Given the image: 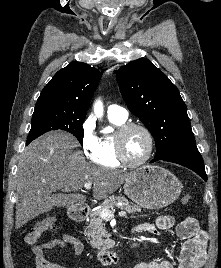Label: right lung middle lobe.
Segmentation results:
<instances>
[{"mask_svg":"<svg viewBox=\"0 0 221 268\" xmlns=\"http://www.w3.org/2000/svg\"><path fill=\"white\" fill-rule=\"evenodd\" d=\"M86 115L62 110L34 111L32 126L27 140H34L51 130H64L83 141V122Z\"/></svg>","mask_w":221,"mask_h":268,"instance_id":"dd1d6c3e","label":"right lung middle lobe"}]
</instances>
